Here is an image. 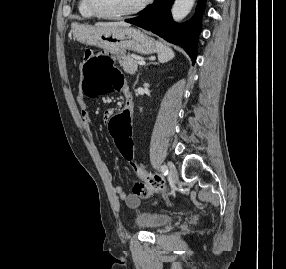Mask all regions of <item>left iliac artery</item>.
Masks as SVG:
<instances>
[{"mask_svg":"<svg viewBox=\"0 0 286 269\" xmlns=\"http://www.w3.org/2000/svg\"><path fill=\"white\" fill-rule=\"evenodd\" d=\"M161 172L163 173V175H167L168 174V169L166 165L161 166Z\"/></svg>","mask_w":286,"mask_h":269,"instance_id":"44dca946","label":"left iliac artery"}]
</instances>
